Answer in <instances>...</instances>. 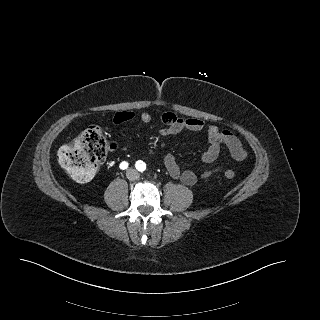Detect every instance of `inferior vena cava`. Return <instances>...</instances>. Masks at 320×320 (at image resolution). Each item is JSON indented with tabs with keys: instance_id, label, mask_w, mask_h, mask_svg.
Segmentation results:
<instances>
[{
	"instance_id": "602c4592",
	"label": "inferior vena cava",
	"mask_w": 320,
	"mask_h": 320,
	"mask_svg": "<svg viewBox=\"0 0 320 320\" xmlns=\"http://www.w3.org/2000/svg\"><path fill=\"white\" fill-rule=\"evenodd\" d=\"M126 174L129 180H137L139 178V173L134 169L128 170Z\"/></svg>"
}]
</instances>
